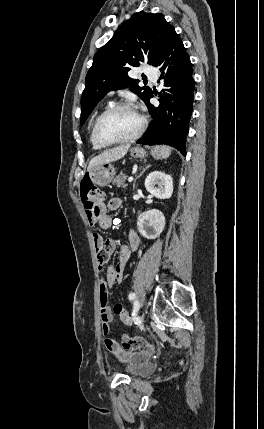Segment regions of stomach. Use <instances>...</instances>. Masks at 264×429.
I'll use <instances>...</instances> for the list:
<instances>
[{
	"instance_id": "stomach-1",
	"label": "stomach",
	"mask_w": 264,
	"mask_h": 429,
	"mask_svg": "<svg viewBox=\"0 0 264 429\" xmlns=\"http://www.w3.org/2000/svg\"><path fill=\"white\" fill-rule=\"evenodd\" d=\"M170 151V148L167 146H155L150 149V154L155 159H164L170 155ZM130 154L133 158L142 159L147 156V151L144 148L137 146L130 150ZM114 175L115 168L113 165L108 163L95 166L87 173V176L90 178L92 183L100 186L109 184Z\"/></svg>"
}]
</instances>
